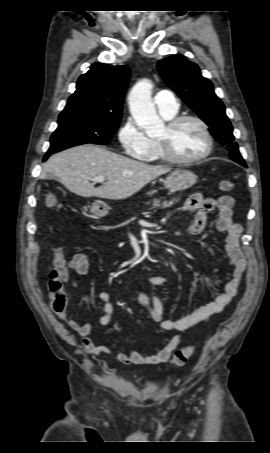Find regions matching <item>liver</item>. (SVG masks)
I'll return each mask as SVG.
<instances>
[{"mask_svg":"<svg viewBox=\"0 0 270 453\" xmlns=\"http://www.w3.org/2000/svg\"><path fill=\"white\" fill-rule=\"evenodd\" d=\"M170 171L167 166L148 165L99 146L85 144L52 155L43 165L40 178L45 179L47 174L57 177L78 196L121 200ZM98 176L107 181L95 188L90 180Z\"/></svg>","mask_w":270,"mask_h":453,"instance_id":"6515ba94","label":"liver"}]
</instances>
